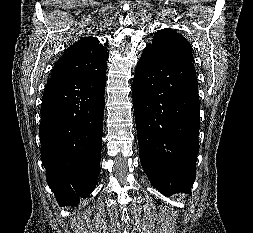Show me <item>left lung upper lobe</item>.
<instances>
[{
  "instance_id": "obj_1",
  "label": "left lung upper lobe",
  "mask_w": 253,
  "mask_h": 233,
  "mask_svg": "<svg viewBox=\"0 0 253 233\" xmlns=\"http://www.w3.org/2000/svg\"><path fill=\"white\" fill-rule=\"evenodd\" d=\"M149 45L165 54L186 58L194 62L191 44L181 34L170 28L155 33L153 41Z\"/></svg>"
}]
</instances>
